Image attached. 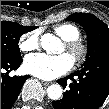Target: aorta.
I'll return each instance as SVG.
<instances>
[{
    "label": "aorta",
    "mask_w": 109,
    "mask_h": 109,
    "mask_svg": "<svg viewBox=\"0 0 109 109\" xmlns=\"http://www.w3.org/2000/svg\"><path fill=\"white\" fill-rule=\"evenodd\" d=\"M41 46L48 53H57L60 40L52 34L47 33L41 37ZM47 92L48 97L52 100H59L62 97V88L58 84L50 85Z\"/></svg>",
    "instance_id": "aorta-1"
}]
</instances>
